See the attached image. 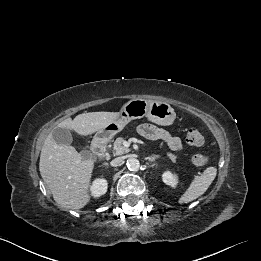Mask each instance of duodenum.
I'll return each instance as SVG.
<instances>
[{
  "label": "duodenum",
  "instance_id": "410a0bca",
  "mask_svg": "<svg viewBox=\"0 0 261 261\" xmlns=\"http://www.w3.org/2000/svg\"><path fill=\"white\" fill-rule=\"evenodd\" d=\"M107 141L105 139H97L93 142L91 151L97 157H104L106 153Z\"/></svg>",
  "mask_w": 261,
  "mask_h": 261
}]
</instances>
